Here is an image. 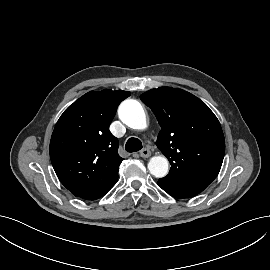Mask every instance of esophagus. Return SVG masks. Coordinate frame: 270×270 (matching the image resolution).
<instances>
[{
	"label": "esophagus",
	"mask_w": 270,
	"mask_h": 270,
	"mask_svg": "<svg viewBox=\"0 0 270 270\" xmlns=\"http://www.w3.org/2000/svg\"><path fill=\"white\" fill-rule=\"evenodd\" d=\"M139 154L142 158H148L151 156V151L148 148H144L139 152Z\"/></svg>",
	"instance_id": "34e87169"
}]
</instances>
